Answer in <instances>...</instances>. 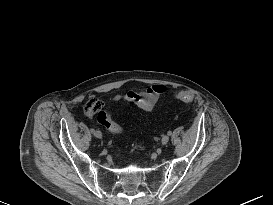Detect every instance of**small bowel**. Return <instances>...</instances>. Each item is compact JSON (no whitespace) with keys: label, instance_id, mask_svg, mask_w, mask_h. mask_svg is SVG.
Instances as JSON below:
<instances>
[{"label":"small bowel","instance_id":"1","mask_svg":"<svg viewBox=\"0 0 273 205\" xmlns=\"http://www.w3.org/2000/svg\"><path fill=\"white\" fill-rule=\"evenodd\" d=\"M166 92V87L164 85L155 84L151 87L147 88L144 91L136 92V91H127L122 94H117L114 96V102H131L134 103L141 110L150 112L161 95Z\"/></svg>","mask_w":273,"mask_h":205}]
</instances>
